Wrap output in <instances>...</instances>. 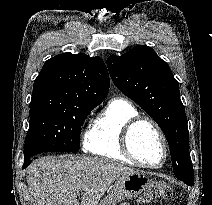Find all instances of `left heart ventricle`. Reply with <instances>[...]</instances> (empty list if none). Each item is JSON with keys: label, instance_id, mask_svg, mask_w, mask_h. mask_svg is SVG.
I'll list each match as a JSON object with an SVG mask.
<instances>
[{"label": "left heart ventricle", "instance_id": "obj_1", "mask_svg": "<svg viewBox=\"0 0 212 205\" xmlns=\"http://www.w3.org/2000/svg\"><path fill=\"white\" fill-rule=\"evenodd\" d=\"M131 145L136 156L143 162L158 164L163 158L161 140L147 123L138 125L131 136Z\"/></svg>", "mask_w": 212, "mask_h": 205}]
</instances>
